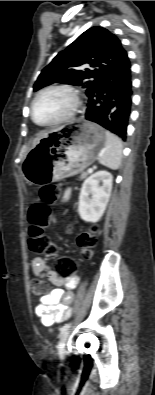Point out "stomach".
Masks as SVG:
<instances>
[{
  "instance_id": "0dacf381",
  "label": "stomach",
  "mask_w": 155,
  "mask_h": 395,
  "mask_svg": "<svg viewBox=\"0 0 155 395\" xmlns=\"http://www.w3.org/2000/svg\"><path fill=\"white\" fill-rule=\"evenodd\" d=\"M105 130L84 119L60 126L42 138L22 164L26 181L44 185L91 165L105 147Z\"/></svg>"
}]
</instances>
